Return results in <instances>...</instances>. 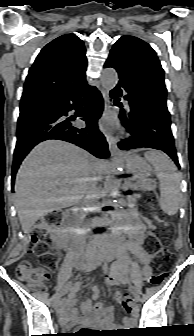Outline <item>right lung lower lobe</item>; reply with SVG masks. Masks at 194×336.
I'll use <instances>...</instances> for the list:
<instances>
[{
  "mask_svg": "<svg viewBox=\"0 0 194 336\" xmlns=\"http://www.w3.org/2000/svg\"><path fill=\"white\" fill-rule=\"evenodd\" d=\"M75 110L86 122V128L77 127L75 118H66ZM103 111L100 92L86 80L50 100L20 109L17 123V143L12 167V191L16 172L29 151L39 142L59 139L76 144L98 158H108V144L98 130L97 120Z\"/></svg>",
  "mask_w": 194,
  "mask_h": 336,
  "instance_id": "obj_1",
  "label": "right lung lower lobe"
}]
</instances>
